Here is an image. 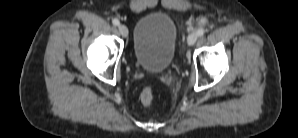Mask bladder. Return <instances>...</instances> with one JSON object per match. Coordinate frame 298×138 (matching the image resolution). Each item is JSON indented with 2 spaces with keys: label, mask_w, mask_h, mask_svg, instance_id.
I'll use <instances>...</instances> for the list:
<instances>
[{
  "label": "bladder",
  "mask_w": 298,
  "mask_h": 138,
  "mask_svg": "<svg viewBox=\"0 0 298 138\" xmlns=\"http://www.w3.org/2000/svg\"><path fill=\"white\" fill-rule=\"evenodd\" d=\"M177 27L163 12H152L137 22L132 39L135 62L145 70L163 72L174 58Z\"/></svg>",
  "instance_id": "31cf9c89"
}]
</instances>
